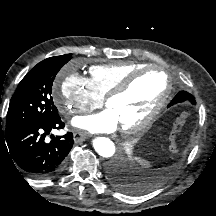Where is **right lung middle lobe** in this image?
Masks as SVG:
<instances>
[{
	"label": "right lung middle lobe",
	"instance_id": "obj_1",
	"mask_svg": "<svg viewBox=\"0 0 216 216\" xmlns=\"http://www.w3.org/2000/svg\"><path fill=\"white\" fill-rule=\"evenodd\" d=\"M70 59L71 54L45 59L21 80L11 98L5 128L48 121L59 116L51 96L52 85L56 74Z\"/></svg>",
	"mask_w": 216,
	"mask_h": 216
}]
</instances>
